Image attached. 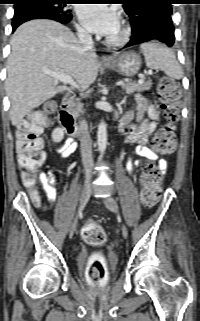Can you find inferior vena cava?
<instances>
[{
    "instance_id": "1",
    "label": "inferior vena cava",
    "mask_w": 200,
    "mask_h": 321,
    "mask_svg": "<svg viewBox=\"0 0 200 321\" xmlns=\"http://www.w3.org/2000/svg\"><path fill=\"white\" fill-rule=\"evenodd\" d=\"M78 38L80 44L83 46L85 50H93L94 42L91 34L84 30H78ZM79 134H80V143H81V154H82V162L85 168L86 175L92 174V166H93V154H92V141L90 138V134L88 131V125L85 119H82L79 122Z\"/></svg>"
}]
</instances>
